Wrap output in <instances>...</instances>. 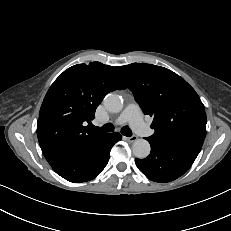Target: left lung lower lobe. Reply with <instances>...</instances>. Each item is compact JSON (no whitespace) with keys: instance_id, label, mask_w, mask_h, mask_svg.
I'll use <instances>...</instances> for the list:
<instances>
[{"instance_id":"left-lung-lower-lobe-1","label":"left lung lower lobe","mask_w":231,"mask_h":231,"mask_svg":"<svg viewBox=\"0 0 231 231\" xmlns=\"http://www.w3.org/2000/svg\"><path fill=\"white\" fill-rule=\"evenodd\" d=\"M146 139L151 145V153L146 159H135V164L148 179L155 182L166 183L182 176L201 150L188 144Z\"/></svg>"}]
</instances>
